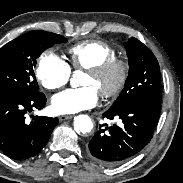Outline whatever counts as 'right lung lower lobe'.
Here are the masks:
<instances>
[{
  "instance_id": "98d812e1",
  "label": "right lung lower lobe",
  "mask_w": 183,
  "mask_h": 183,
  "mask_svg": "<svg viewBox=\"0 0 183 183\" xmlns=\"http://www.w3.org/2000/svg\"><path fill=\"white\" fill-rule=\"evenodd\" d=\"M46 97L41 92L0 93V150L14 160H23L41 152L58 118L37 116L28 124L25 114L41 110Z\"/></svg>"
}]
</instances>
